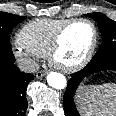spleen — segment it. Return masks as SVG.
<instances>
[{"label":"spleen","instance_id":"obj_1","mask_svg":"<svg viewBox=\"0 0 116 116\" xmlns=\"http://www.w3.org/2000/svg\"><path fill=\"white\" fill-rule=\"evenodd\" d=\"M77 103L83 116H115L116 84L81 87Z\"/></svg>","mask_w":116,"mask_h":116}]
</instances>
